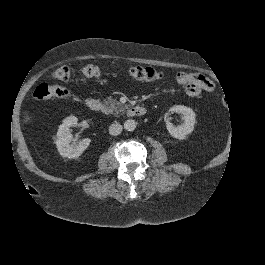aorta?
I'll return each mask as SVG.
<instances>
[{"label":"aorta","mask_w":265,"mask_h":265,"mask_svg":"<svg viewBox=\"0 0 265 265\" xmlns=\"http://www.w3.org/2000/svg\"><path fill=\"white\" fill-rule=\"evenodd\" d=\"M136 128V122L132 119H128L124 122V129L126 131H133Z\"/></svg>","instance_id":"obj_1"}]
</instances>
